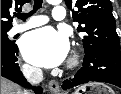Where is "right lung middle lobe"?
Returning <instances> with one entry per match:
<instances>
[{"mask_svg": "<svg viewBox=\"0 0 121 94\" xmlns=\"http://www.w3.org/2000/svg\"><path fill=\"white\" fill-rule=\"evenodd\" d=\"M10 29H3L1 30V45H12L14 42L9 40L8 36H7V32Z\"/></svg>", "mask_w": 121, "mask_h": 94, "instance_id": "right-lung-middle-lobe-1", "label": "right lung middle lobe"}]
</instances>
